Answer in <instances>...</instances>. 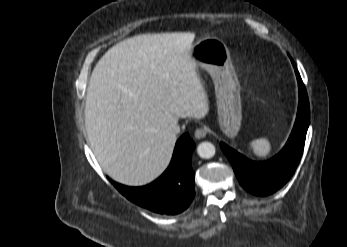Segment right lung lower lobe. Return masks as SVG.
Listing matches in <instances>:
<instances>
[{
    "label": "right lung lower lobe",
    "mask_w": 347,
    "mask_h": 247,
    "mask_svg": "<svg viewBox=\"0 0 347 247\" xmlns=\"http://www.w3.org/2000/svg\"><path fill=\"white\" fill-rule=\"evenodd\" d=\"M194 148L189 134H183L176 143L170 165L149 185L128 187L111 182L121 194L139 206L160 214H178L190 205L195 196L191 166Z\"/></svg>",
    "instance_id": "obj_1"
}]
</instances>
